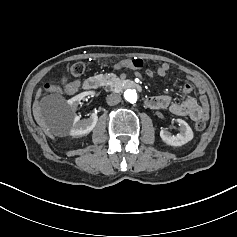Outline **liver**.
I'll use <instances>...</instances> for the list:
<instances>
[{"instance_id": "obj_1", "label": "liver", "mask_w": 237, "mask_h": 237, "mask_svg": "<svg viewBox=\"0 0 237 237\" xmlns=\"http://www.w3.org/2000/svg\"><path fill=\"white\" fill-rule=\"evenodd\" d=\"M35 118L37 119V114H36V113H35ZM47 135H48L53 141H56V137H55L53 134L47 132Z\"/></svg>"}]
</instances>
